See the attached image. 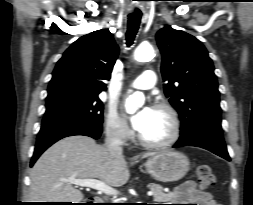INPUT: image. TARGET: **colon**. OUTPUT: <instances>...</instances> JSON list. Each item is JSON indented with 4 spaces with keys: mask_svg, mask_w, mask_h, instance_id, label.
I'll return each mask as SVG.
<instances>
[{
    "mask_svg": "<svg viewBox=\"0 0 253 205\" xmlns=\"http://www.w3.org/2000/svg\"><path fill=\"white\" fill-rule=\"evenodd\" d=\"M197 180L201 190L212 188L216 184V176L210 165L202 164L197 169Z\"/></svg>",
    "mask_w": 253,
    "mask_h": 205,
    "instance_id": "colon-1",
    "label": "colon"
}]
</instances>
